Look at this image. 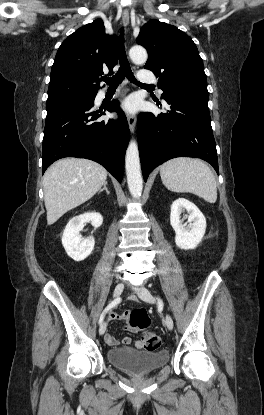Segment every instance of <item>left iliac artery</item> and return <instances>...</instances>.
I'll use <instances>...</instances> for the list:
<instances>
[{"mask_svg":"<svg viewBox=\"0 0 264 415\" xmlns=\"http://www.w3.org/2000/svg\"><path fill=\"white\" fill-rule=\"evenodd\" d=\"M158 303L159 305H163V302L160 299H158Z\"/></svg>","mask_w":264,"mask_h":415,"instance_id":"1","label":"left iliac artery"}]
</instances>
